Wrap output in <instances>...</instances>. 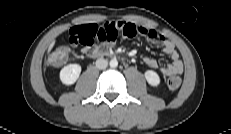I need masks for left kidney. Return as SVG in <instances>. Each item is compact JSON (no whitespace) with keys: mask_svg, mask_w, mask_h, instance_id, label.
Wrapping results in <instances>:
<instances>
[{"mask_svg":"<svg viewBox=\"0 0 231 134\" xmlns=\"http://www.w3.org/2000/svg\"><path fill=\"white\" fill-rule=\"evenodd\" d=\"M145 78L147 82L153 87H157L160 84V77L155 71L147 70L145 72Z\"/></svg>","mask_w":231,"mask_h":134,"instance_id":"5707ae66","label":"left kidney"}]
</instances>
